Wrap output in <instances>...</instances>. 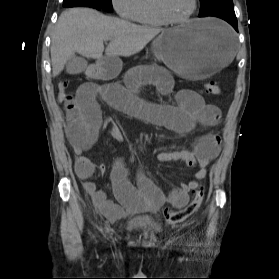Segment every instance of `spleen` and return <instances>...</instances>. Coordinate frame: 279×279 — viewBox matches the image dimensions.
Wrapping results in <instances>:
<instances>
[{
    "instance_id": "obj_1",
    "label": "spleen",
    "mask_w": 279,
    "mask_h": 279,
    "mask_svg": "<svg viewBox=\"0 0 279 279\" xmlns=\"http://www.w3.org/2000/svg\"><path fill=\"white\" fill-rule=\"evenodd\" d=\"M221 30L223 31V32H228V30L226 29V28H224V27H221ZM232 37H233V33H232Z\"/></svg>"
}]
</instances>
